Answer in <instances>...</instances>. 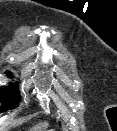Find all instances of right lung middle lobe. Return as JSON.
<instances>
[{
  "instance_id": "right-lung-middle-lobe-1",
  "label": "right lung middle lobe",
  "mask_w": 117,
  "mask_h": 131,
  "mask_svg": "<svg viewBox=\"0 0 117 131\" xmlns=\"http://www.w3.org/2000/svg\"><path fill=\"white\" fill-rule=\"evenodd\" d=\"M10 75L9 72H7ZM20 100V95L16 85L3 86L0 88V101L3 106L0 107V112H4L16 107Z\"/></svg>"
}]
</instances>
